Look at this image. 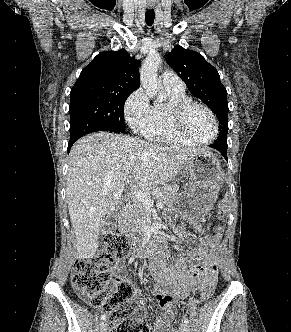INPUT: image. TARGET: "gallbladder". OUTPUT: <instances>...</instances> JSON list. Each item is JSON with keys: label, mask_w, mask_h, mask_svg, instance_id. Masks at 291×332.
Returning a JSON list of instances; mask_svg holds the SVG:
<instances>
[{"label": "gallbladder", "mask_w": 291, "mask_h": 332, "mask_svg": "<svg viewBox=\"0 0 291 332\" xmlns=\"http://www.w3.org/2000/svg\"><path fill=\"white\" fill-rule=\"evenodd\" d=\"M115 212H112L110 215H108L107 221L105 223V226L103 228L104 234H112L116 231V220H115Z\"/></svg>", "instance_id": "1"}]
</instances>
